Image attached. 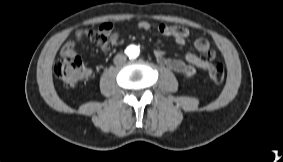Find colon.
<instances>
[{"label": "colon", "instance_id": "5ec220e1", "mask_svg": "<svg viewBox=\"0 0 283 162\" xmlns=\"http://www.w3.org/2000/svg\"><path fill=\"white\" fill-rule=\"evenodd\" d=\"M54 74L67 87L79 84L88 74V70L78 56H62L54 64ZM208 76L212 83L221 85L225 78L224 68L221 62H214Z\"/></svg>", "mask_w": 283, "mask_h": 162}]
</instances>
